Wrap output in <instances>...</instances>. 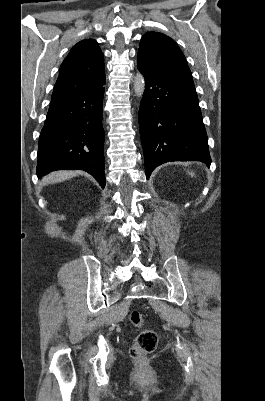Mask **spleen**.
Masks as SVG:
<instances>
[{
	"mask_svg": "<svg viewBox=\"0 0 265 401\" xmlns=\"http://www.w3.org/2000/svg\"><path fill=\"white\" fill-rule=\"evenodd\" d=\"M189 174H191V176H195V172H189Z\"/></svg>",
	"mask_w": 265,
	"mask_h": 401,
	"instance_id": "1",
	"label": "spleen"
}]
</instances>
